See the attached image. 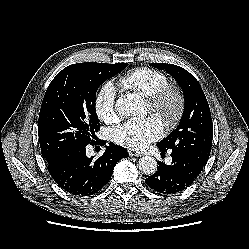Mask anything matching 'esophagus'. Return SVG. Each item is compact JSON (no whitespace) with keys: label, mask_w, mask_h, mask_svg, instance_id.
Here are the masks:
<instances>
[{"label":"esophagus","mask_w":249,"mask_h":249,"mask_svg":"<svg viewBox=\"0 0 249 249\" xmlns=\"http://www.w3.org/2000/svg\"><path fill=\"white\" fill-rule=\"evenodd\" d=\"M129 155H130V156H135V157H140V156H142V154L137 153V152H134V151H129Z\"/></svg>","instance_id":"1"}]
</instances>
